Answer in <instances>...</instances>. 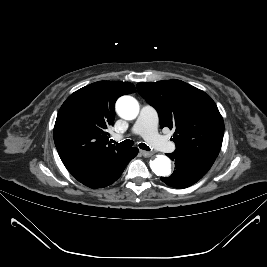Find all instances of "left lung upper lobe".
I'll list each match as a JSON object with an SVG mask.
<instances>
[{"label":"left lung upper lobe","mask_w":267,"mask_h":267,"mask_svg":"<svg viewBox=\"0 0 267 267\" xmlns=\"http://www.w3.org/2000/svg\"><path fill=\"white\" fill-rule=\"evenodd\" d=\"M137 89L157 110L161 128L175 130L177 151L215 161L222 145L224 122L205 92L176 79L138 83Z\"/></svg>","instance_id":"5c2ea615"}]
</instances>
